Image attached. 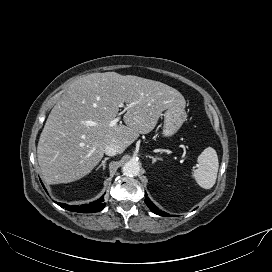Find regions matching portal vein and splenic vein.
Returning <instances> with one entry per match:
<instances>
[{"instance_id":"portal-vein-and-splenic-vein-1","label":"portal vein and splenic vein","mask_w":272,"mask_h":272,"mask_svg":"<svg viewBox=\"0 0 272 272\" xmlns=\"http://www.w3.org/2000/svg\"><path fill=\"white\" fill-rule=\"evenodd\" d=\"M133 105H134V103H131L129 106H133ZM122 106H123V105L121 104L120 107H122ZM119 120H120L119 117L114 118L113 120L110 121L109 126H111V127L116 126L117 123L119 122ZM88 124L91 125V126L93 125L92 122H88Z\"/></svg>"}]
</instances>
